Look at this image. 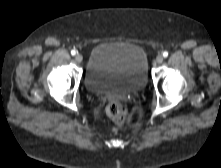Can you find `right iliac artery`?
<instances>
[{
  "mask_svg": "<svg viewBox=\"0 0 221 168\" xmlns=\"http://www.w3.org/2000/svg\"><path fill=\"white\" fill-rule=\"evenodd\" d=\"M75 54H76V51H75V50H72V51H71V55L74 56Z\"/></svg>",
  "mask_w": 221,
  "mask_h": 168,
  "instance_id": "82829eb1",
  "label": "right iliac artery"
}]
</instances>
